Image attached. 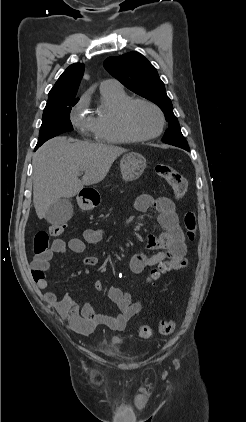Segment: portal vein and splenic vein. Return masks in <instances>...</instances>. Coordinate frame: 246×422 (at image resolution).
Here are the masks:
<instances>
[{"label": "portal vein and splenic vein", "mask_w": 246, "mask_h": 422, "mask_svg": "<svg viewBox=\"0 0 246 422\" xmlns=\"http://www.w3.org/2000/svg\"><path fill=\"white\" fill-rule=\"evenodd\" d=\"M80 173L82 174L83 173V170H81Z\"/></svg>", "instance_id": "obj_1"}]
</instances>
